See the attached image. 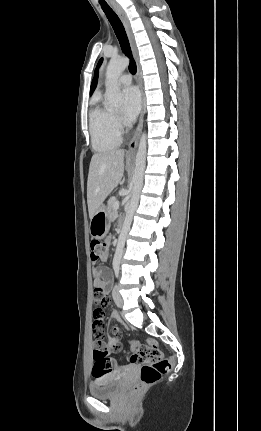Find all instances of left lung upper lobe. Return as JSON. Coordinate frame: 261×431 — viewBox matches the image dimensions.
I'll list each match as a JSON object with an SVG mask.
<instances>
[{"label":"left lung upper lobe","instance_id":"5c2ea615","mask_svg":"<svg viewBox=\"0 0 261 431\" xmlns=\"http://www.w3.org/2000/svg\"><path fill=\"white\" fill-rule=\"evenodd\" d=\"M102 61H103V59L101 58V59L99 60V62H98L97 68H99V66L101 65Z\"/></svg>","mask_w":261,"mask_h":431}]
</instances>
